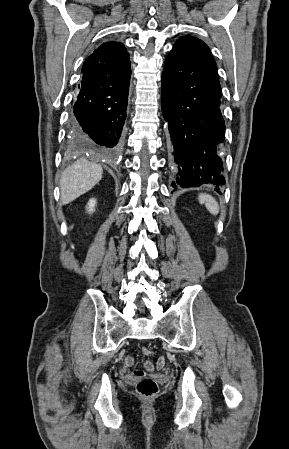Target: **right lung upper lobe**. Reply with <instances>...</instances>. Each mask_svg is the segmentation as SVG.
Wrapping results in <instances>:
<instances>
[{
  "instance_id": "1",
  "label": "right lung upper lobe",
  "mask_w": 289,
  "mask_h": 449,
  "mask_svg": "<svg viewBox=\"0 0 289 449\" xmlns=\"http://www.w3.org/2000/svg\"><path fill=\"white\" fill-rule=\"evenodd\" d=\"M126 48L118 42H106L97 48L84 62L83 75L100 76L130 64Z\"/></svg>"
}]
</instances>
